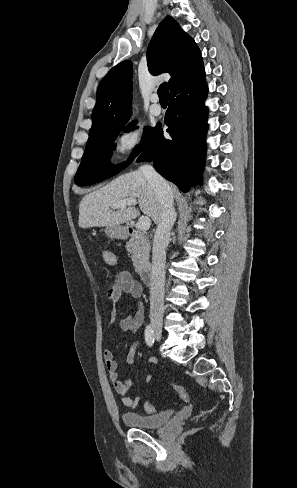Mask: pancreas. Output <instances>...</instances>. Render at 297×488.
<instances>
[{"label": "pancreas", "mask_w": 297, "mask_h": 488, "mask_svg": "<svg viewBox=\"0 0 297 488\" xmlns=\"http://www.w3.org/2000/svg\"><path fill=\"white\" fill-rule=\"evenodd\" d=\"M127 246L132 252L133 266L136 272L142 271L149 264L150 241L145 232L136 231Z\"/></svg>", "instance_id": "1"}]
</instances>
